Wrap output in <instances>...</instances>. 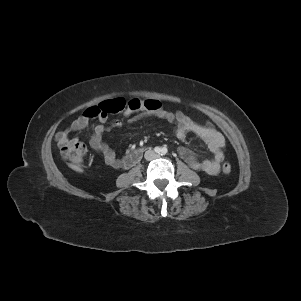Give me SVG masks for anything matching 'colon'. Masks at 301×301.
Returning <instances> with one entry per match:
<instances>
[{"mask_svg":"<svg viewBox=\"0 0 301 301\" xmlns=\"http://www.w3.org/2000/svg\"><path fill=\"white\" fill-rule=\"evenodd\" d=\"M161 107L162 105L159 101L152 99L142 100L138 98H115L104 101L97 106L90 107L86 109L84 113L90 118H98L99 116H106L108 113H119L125 110H145L149 112H156L160 110ZM86 152V145L81 141H74L72 143L66 144L61 149L63 158L75 166L81 165L83 163ZM221 169L224 174H229L232 168L229 163H224Z\"/></svg>","mask_w":301,"mask_h":301,"instance_id":"5ec220e1","label":"colon"}]
</instances>
